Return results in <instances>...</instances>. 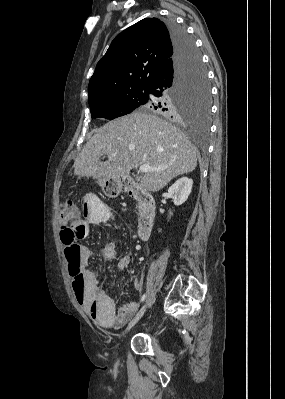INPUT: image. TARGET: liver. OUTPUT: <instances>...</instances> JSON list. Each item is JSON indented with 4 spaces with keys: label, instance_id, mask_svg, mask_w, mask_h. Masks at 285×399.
I'll use <instances>...</instances> for the list:
<instances>
[{
    "label": "liver",
    "instance_id": "1",
    "mask_svg": "<svg viewBox=\"0 0 285 399\" xmlns=\"http://www.w3.org/2000/svg\"><path fill=\"white\" fill-rule=\"evenodd\" d=\"M116 155L113 156L112 154ZM197 148L176 126L149 113L134 112L114 119L97 130L74 161V174L94 179L127 177L147 164L163 171L144 172L141 186L151 192L197 166ZM107 155L108 160L100 158Z\"/></svg>",
    "mask_w": 285,
    "mask_h": 399
}]
</instances>
